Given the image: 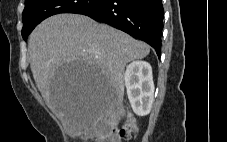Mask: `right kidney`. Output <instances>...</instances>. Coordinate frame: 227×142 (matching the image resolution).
I'll return each instance as SVG.
<instances>
[{
    "label": "right kidney",
    "mask_w": 227,
    "mask_h": 142,
    "mask_svg": "<svg viewBox=\"0 0 227 142\" xmlns=\"http://www.w3.org/2000/svg\"><path fill=\"white\" fill-rule=\"evenodd\" d=\"M128 99L134 113L145 116L150 113L154 100L152 68L148 62L134 61L125 72Z\"/></svg>",
    "instance_id": "ca27d5eb"
}]
</instances>
